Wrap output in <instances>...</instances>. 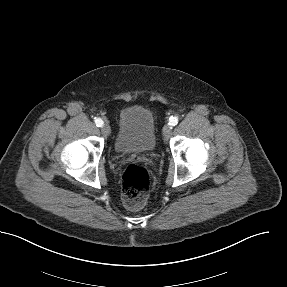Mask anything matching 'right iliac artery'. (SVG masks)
<instances>
[{
	"label": "right iliac artery",
	"instance_id": "82829eb1",
	"mask_svg": "<svg viewBox=\"0 0 287 287\" xmlns=\"http://www.w3.org/2000/svg\"><path fill=\"white\" fill-rule=\"evenodd\" d=\"M95 124L98 126V127H102V125H103V121H102V119H100V118H95Z\"/></svg>",
	"mask_w": 287,
	"mask_h": 287
}]
</instances>
